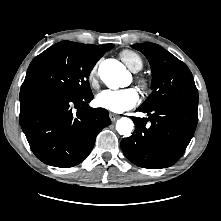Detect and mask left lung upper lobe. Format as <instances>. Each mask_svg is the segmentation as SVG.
I'll use <instances>...</instances> for the list:
<instances>
[{
	"label": "left lung upper lobe",
	"instance_id": "5c2ea615",
	"mask_svg": "<svg viewBox=\"0 0 221 221\" xmlns=\"http://www.w3.org/2000/svg\"><path fill=\"white\" fill-rule=\"evenodd\" d=\"M142 52L152 70V94L140 106L152 108L168 102H185L198 105V91L189 68L160 45L134 44Z\"/></svg>",
	"mask_w": 221,
	"mask_h": 221
}]
</instances>
